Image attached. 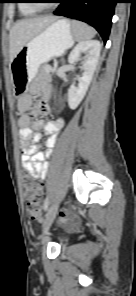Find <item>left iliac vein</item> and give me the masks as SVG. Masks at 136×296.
Listing matches in <instances>:
<instances>
[{
	"instance_id": "4c4485c4",
	"label": "left iliac vein",
	"mask_w": 136,
	"mask_h": 296,
	"mask_svg": "<svg viewBox=\"0 0 136 296\" xmlns=\"http://www.w3.org/2000/svg\"><path fill=\"white\" fill-rule=\"evenodd\" d=\"M58 202H55L52 204V206L49 208L47 214H46V219L45 222L43 224V237L42 240L45 241L46 240V234L51 226V224L53 223L57 211H58Z\"/></svg>"
}]
</instances>
